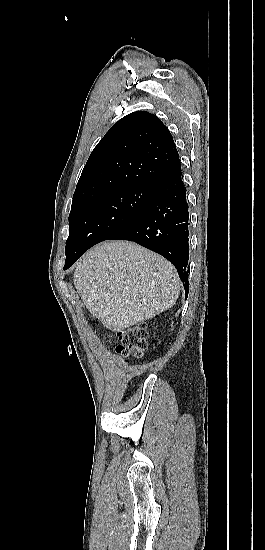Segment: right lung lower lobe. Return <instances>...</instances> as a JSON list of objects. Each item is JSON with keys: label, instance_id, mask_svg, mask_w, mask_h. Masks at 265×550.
I'll return each instance as SVG.
<instances>
[{"label": "right lung lower lobe", "instance_id": "obj_1", "mask_svg": "<svg viewBox=\"0 0 265 550\" xmlns=\"http://www.w3.org/2000/svg\"><path fill=\"white\" fill-rule=\"evenodd\" d=\"M181 175L179 162L160 179L143 212L108 240L133 241L164 256L177 269L187 297L189 213Z\"/></svg>", "mask_w": 265, "mask_h": 550}]
</instances>
